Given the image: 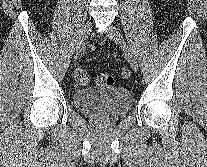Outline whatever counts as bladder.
I'll list each match as a JSON object with an SVG mask.
<instances>
[{
  "label": "bladder",
  "mask_w": 207,
  "mask_h": 167,
  "mask_svg": "<svg viewBox=\"0 0 207 167\" xmlns=\"http://www.w3.org/2000/svg\"><path fill=\"white\" fill-rule=\"evenodd\" d=\"M73 102L78 110L88 116L111 119L129 111L132 96L121 86L88 87L75 91Z\"/></svg>",
  "instance_id": "obj_1"
}]
</instances>
